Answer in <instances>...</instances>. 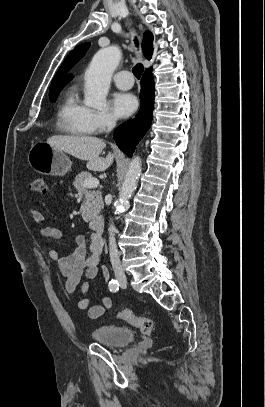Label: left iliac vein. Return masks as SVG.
Segmentation results:
<instances>
[{"instance_id": "1", "label": "left iliac vein", "mask_w": 265, "mask_h": 407, "mask_svg": "<svg viewBox=\"0 0 265 407\" xmlns=\"http://www.w3.org/2000/svg\"><path fill=\"white\" fill-rule=\"evenodd\" d=\"M121 287H122L123 289H125V288H126V283H122V284H121Z\"/></svg>"}]
</instances>
